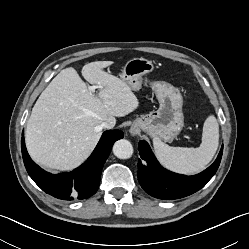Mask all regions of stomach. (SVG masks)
Returning <instances> with one entry per match:
<instances>
[{
    "mask_svg": "<svg viewBox=\"0 0 249 249\" xmlns=\"http://www.w3.org/2000/svg\"><path fill=\"white\" fill-rule=\"evenodd\" d=\"M154 70L152 61L145 58H133L123 66L121 78L132 90L141 88L143 77ZM159 108L156 111L136 118L132 124V132L144 131L151 137L173 140L184 127L182 112L183 98L179 90L164 81L151 83Z\"/></svg>",
    "mask_w": 249,
    "mask_h": 249,
    "instance_id": "stomach-1",
    "label": "stomach"
}]
</instances>
